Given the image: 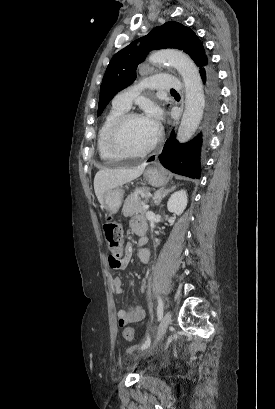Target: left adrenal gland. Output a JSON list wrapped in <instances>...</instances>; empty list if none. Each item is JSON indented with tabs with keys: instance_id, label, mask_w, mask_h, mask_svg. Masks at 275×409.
<instances>
[{
	"instance_id": "a2214340",
	"label": "left adrenal gland",
	"mask_w": 275,
	"mask_h": 409,
	"mask_svg": "<svg viewBox=\"0 0 275 409\" xmlns=\"http://www.w3.org/2000/svg\"><path fill=\"white\" fill-rule=\"evenodd\" d=\"M177 188L176 184L175 186H170V188H165V186H162V188H158L156 192H154L153 200L155 202V205H160V202L166 194H169V192H172V190H175Z\"/></svg>"
}]
</instances>
